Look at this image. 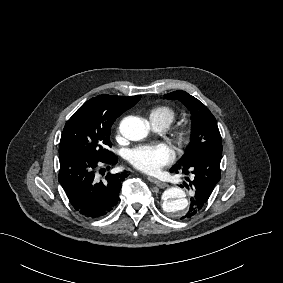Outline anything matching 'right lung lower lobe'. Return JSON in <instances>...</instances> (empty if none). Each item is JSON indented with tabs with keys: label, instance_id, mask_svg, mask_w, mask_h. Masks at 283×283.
<instances>
[{
	"label": "right lung lower lobe",
	"instance_id": "right-lung-lower-lobe-1",
	"mask_svg": "<svg viewBox=\"0 0 283 283\" xmlns=\"http://www.w3.org/2000/svg\"><path fill=\"white\" fill-rule=\"evenodd\" d=\"M59 183L70 204L85 218L97 219L110 213L118 203L122 181L128 176L108 173L103 181L95 178L96 170L102 165L113 166L117 157L111 153L104 159H97L85 152L75 151L59 156ZM105 172L100 169V172Z\"/></svg>",
	"mask_w": 283,
	"mask_h": 283
}]
</instances>
